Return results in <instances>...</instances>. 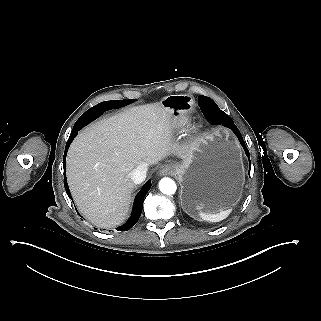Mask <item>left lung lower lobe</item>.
I'll return each instance as SVG.
<instances>
[{
	"label": "left lung lower lobe",
	"mask_w": 321,
	"mask_h": 321,
	"mask_svg": "<svg viewBox=\"0 0 321 321\" xmlns=\"http://www.w3.org/2000/svg\"><path fill=\"white\" fill-rule=\"evenodd\" d=\"M201 110L209 123L215 124V125L222 124V125L230 128L236 134V136L238 137V139H239L241 145L243 146L245 153L248 156L249 161H250L249 151L246 148V145L244 143V140L241 136L240 131L238 130L236 125L233 123L232 119L227 114H225L223 111H221L215 103H213L210 106H203V107H201Z\"/></svg>",
	"instance_id": "obj_1"
}]
</instances>
